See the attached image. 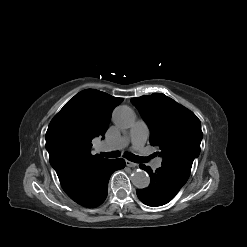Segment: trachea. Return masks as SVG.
<instances>
[{"instance_id": "1", "label": "trachea", "mask_w": 247, "mask_h": 247, "mask_svg": "<svg viewBox=\"0 0 247 247\" xmlns=\"http://www.w3.org/2000/svg\"><path fill=\"white\" fill-rule=\"evenodd\" d=\"M102 156H105L107 158H116L120 156V152L119 151H113V152H106V153H102ZM125 157L126 159L135 162V163H143L147 161V158L145 157H140V156H136L132 153H125Z\"/></svg>"}]
</instances>
